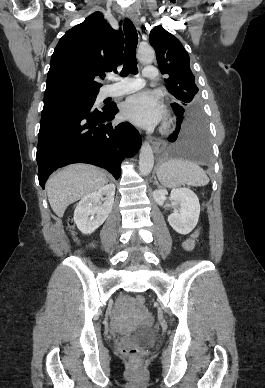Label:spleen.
Returning a JSON list of instances; mask_svg holds the SVG:
<instances>
[{
	"instance_id": "obj_1",
	"label": "spleen",
	"mask_w": 265,
	"mask_h": 388,
	"mask_svg": "<svg viewBox=\"0 0 265 388\" xmlns=\"http://www.w3.org/2000/svg\"><path fill=\"white\" fill-rule=\"evenodd\" d=\"M156 174L160 184L165 188H178L183 184L207 186L209 182V178L198 164H194L190 160H183V158L167 160L159 166Z\"/></svg>"
}]
</instances>
